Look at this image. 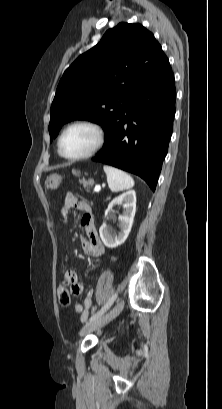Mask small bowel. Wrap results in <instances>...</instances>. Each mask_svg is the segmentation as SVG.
I'll return each instance as SVG.
<instances>
[{
  "label": "small bowel",
  "mask_w": 222,
  "mask_h": 409,
  "mask_svg": "<svg viewBox=\"0 0 222 409\" xmlns=\"http://www.w3.org/2000/svg\"><path fill=\"white\" fill-rule=\"evenodd\" d=\"M77 210L82 213L81 217V246L84 253L91 257H99L104 254V246L98 236L94 218L92 215V209L90 205L84 200H78L75 195L68 193L66 195L61 213L65 221L68 220V216L72 210ZM113 262L116 261L115 257H111ZM73 269H68L64 275V283L70 286L71 295L73 297H81L83 295L84 283L78 281L77 275ZM94 289H89L84 297L83 303H75L74 311L80 314L82 322L86 321L89 316V310L93 306Z\"/></svg>",
  "instance_id": "obj_1"
}]
</instances>
